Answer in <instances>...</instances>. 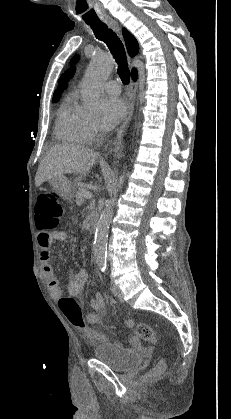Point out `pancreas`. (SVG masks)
Wrapping results in <instances>:
<instances>
[{"label": "pancreas", "mask_w": 231, "mask_h": 419, "mask_svg": "<svg viewBox=\"0 0 231 419\" xmlns=\"http://www.w3.org/2000/svg\"><path fill=\"white\" fill-rule=\"evenodd\" d=\"M76 189V199L75 202L77 205H82L85 201V193L89 192L87 187L83 185L81 182H76L75 184Z\"/></svg>", "instance_id": "obj_1"}]
</instances>
